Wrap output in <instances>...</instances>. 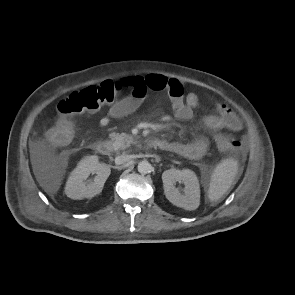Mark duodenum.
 Returning a JSON list of instances; mask_svg holds the SVG:
<instances>
[{
  "mask_svg": "<svg viewBox=\"0 0 295 295\" xmlns=\"http://www.w3.org/2000/svg\"><path fill=\"white\" fill-rule=\"evenodd\" d=\"M147 145L152 148H162L163 142L160 139L156 138H149L147 140ZM93 149L96 153L100 155H108L111 152V146L107 141H96L93 143Z\"/></svg>",
  "mask_w": 295,
  "mask_h": 295,
  "instance_id": "obj_1",
  "label": "duodenum"
}]
</instances>
